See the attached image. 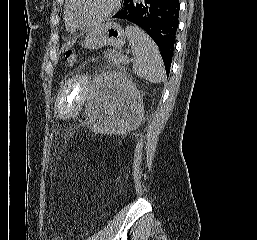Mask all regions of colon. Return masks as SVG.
<instances>
[{"label": "colon", "mask_w": 257, "mask_h": 240, "mask_svg": "<svg viewBox=\"0 0 257 240\" xmlns=\"http://www.w3.org/2000/svg\"><path fill=\"white\" fill-rule=\"evenodd\" d=\"M65 60H66V63L69 65V66H72L74 65L77 60H78V55L76 52L74 51H68L65 55ZM53 140L52 138H50L49 140V143H48V155L49 156H52V152H53Z\"/></svg>", "instance_id": "5ec220e1"}]
</instances>
